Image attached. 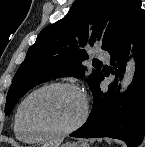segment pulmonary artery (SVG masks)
Wrapping results in <instances>:
<instances>
[{
    "instance_id": "1",
    "label": "pulmonary artery",
    "mask_w": 145,
    "mask_h": 147,
    "mask_svg": "<svg viewBox=\"0 0 145 147\" xmlns=\"http://www.w3.org/2000/svg\"><path fill=\"white\" fill-rule=\"evenodd\" d=\"M96 56L104 61H108L110 59V55L104 51H97Z\"/></svg>"
}]
</instances>
